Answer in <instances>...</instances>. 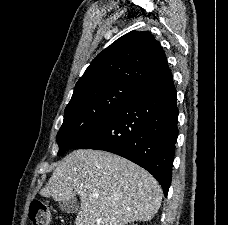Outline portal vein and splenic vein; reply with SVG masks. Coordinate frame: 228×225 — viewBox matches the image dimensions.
Instances as JSON below:
<instances>
[{
  "label": "portal vein and splenic vein",
  "mask_w": 228,
  "mask_h": 225,
  "mask_svg": "<svg viewBox=\"0 0 228 225\" xmlns=\"http://www.w3.org/2000/svg\"><path fill=\"white\" fill-rule=\"evenodd\" d=\"M93 197H98V195H93Z\"/></svg>",
  "instance_id": "1"
}]
</instances>
